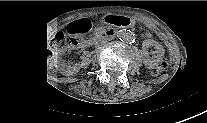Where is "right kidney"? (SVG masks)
I'll use <instances>...</instances> for the list:
<instances>
[{
  "mask_svg": "<svg viewBox=\"0 0 207 123\" xmlns=\"http://www.w3.org/2000/svg\"><path fill=\"white\" fill-rule=\"evenodd\" d=\"M66 49L64 48H61L59 50H57L55 52V56H54V60H55V66L58 68L59 71L61 72H65V66H66V63L65 61L62 59V56L63 54L65 53ZM69 64V63H68Z\"/></svg>",
  "mask_w": 207,
  "mask_h": 123,
  "instance_id": "ca27d5eb",
  "label": "right kidney"
}]
</instances>
